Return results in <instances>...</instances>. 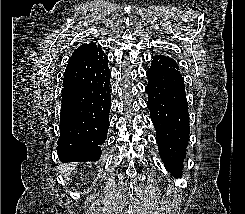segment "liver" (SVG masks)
Instances as JSON below:
<instances>
[{"mask_svg": "<svg viewBox=\"0 0 245 214\" xmlns=\"http://www.w3.org/2000/svg\"><path fill=\"white\" fill-rule=\"evenodd\" d=\"M75 168V165H66L64 166L62 169H61V173L62 175L67 178L69 177L70 173H71V170Z\"/></svg>", "mask_w": 245, "mask_h": 214, "instance_id": "liver-1", "label": "liver"}]
</instances>
